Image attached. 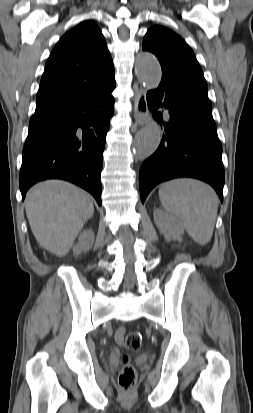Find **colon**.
Here are the masks:
<instances>
[{
  "mask_svg": "<svg viewBox=\"0 0 253 413\" xmlns=\"http://www.w3.org/2000/svg\"><path fill=\"white\" fill-rule=\"evenodd\" d=\"M141 335L132 331L126 335L125 346L131 350H137L141 346ZM136 370L130 363V359L127 355L122 356V368L119 373L118 383L120 389L125 395H130L135 387L136 383Z\"/></svg>",
  "mask_w": 253,
  "mask_h": 413,
  "instance_id": "colon-1",
  "label": "colon"
}]
</instances>
